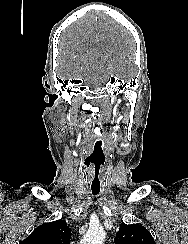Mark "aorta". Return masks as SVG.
Returning <instances> with one entry per match:
<instances>
[{
  "instance_id": "762f6f07",
  "label": "aorta",
  "mask_w": 188,
  "mask_h": 244,
  "mask_svg": "<svg viewBox=\"0 0 188 244\" xmlns=\"http://www.w3.org/2000/svg\"><path fill=\"white\" fill-rule=\"evenodd\" d=\"M106 232L102 227L90 228L79 244H103Z\"/></svg>"
}]
</instances>
